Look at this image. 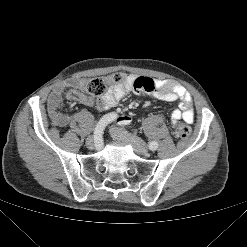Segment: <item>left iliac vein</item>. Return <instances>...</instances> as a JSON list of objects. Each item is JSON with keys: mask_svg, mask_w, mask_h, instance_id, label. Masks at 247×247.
I'll use <instances>...</instances> for the list:
<instances>
[{"mask_svg": "<svg viewBox=\"0 0 247 247\" xmlns=\"http://www.w3.org/2000/svg\"><path fill=\"white\" fill-rule=\"evenodd\" d=\"M110 132L113 138L132 145L138 154L146 155L148 153V148L140 138L125 134L121 129L116 127H112Z\"/></svg>", "mask_w": 247, "mask_h": 247, "instance_id": "left-iliac-vein-1", "label": "left iliac vein"}]
</instances>
